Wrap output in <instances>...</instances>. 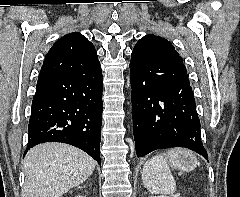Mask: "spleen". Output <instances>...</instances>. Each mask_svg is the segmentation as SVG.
Masks as SVG:
<instances>
[{"label": "spleen", "mask_w": 240, "mask_h": 197, "mask_svg": "<svg viewBox=\"0 0 240 197\" xmlns=\"http://www.w3.org/2000/svg\"><path fill=\"white\" fill-rule=\"evenodd\" d=\"M181 158H191L197 162L192 152L174 148L166 153L157 154L144 164L142 178L149 192L164 195L175 192L176 182L170 171L169 163L173 164Z\"/></svg>", "instance_id": "1"}]
</instances>
